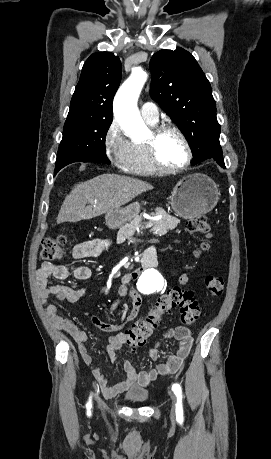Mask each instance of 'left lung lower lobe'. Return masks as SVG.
Returning a JSON list of instances; mask_svg holds the SVG:
<instances>
[{
    "mask_svg": "<svg viewBox=\"0 0 271 459\" xmlns=\"http://www.w3.org/2000/svg\"><path fill=\"white\" fill-rule=\"evenodd\" d=\"M208 160H211V161H216L217 164H219L222 168H225V164H224V160H223V156L222 155H215V156H211L209 158H207L206 160L204 161H208ZM203 162V161H202Z\"/></svg>",
    "mask_w": 271,
    "mask_h": 459,
    "instance_id": "1",
    "label": "left lung lower lobe"
}]
</instances>
